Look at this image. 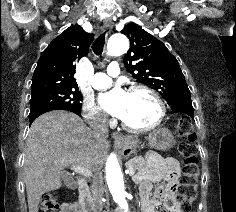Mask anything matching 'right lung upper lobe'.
<instances>
[{"label":"right lung upper lobe","instance_id":"cb5924a9","mask_svg":"<svg viewBox=\"0 0 236 212\" xmlns=\"http://www.w3.org/2000/svg\"><path fill=\"white\" fill-rule=\"evenodd\" d=\"M93 34L72 25L56 37L40 56L34 71L31 93L47 89L78 88L75 62L88 54Z\"/></svg>","mask_w":236,"mask_h":212}]
</instances>
